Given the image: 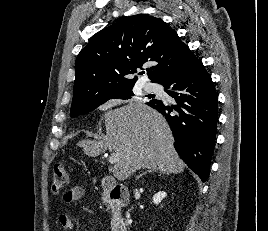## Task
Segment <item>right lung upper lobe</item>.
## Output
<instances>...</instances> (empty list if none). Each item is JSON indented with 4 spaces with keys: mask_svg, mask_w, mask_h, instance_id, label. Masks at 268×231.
<instances>
[{
    "mask_svg": "<svg viewBox=\"0 0 268 231\" xmlns=\"http://www.w3.org/2000/svg\"><path fill=\"white\" fill-rule=\"evenodd\" d=\"M198 62L162 19L143 14L125 17L92 36L78 54L72 103L133 87L137 77H130L145 63L154 65L149 78L161 84Z\"/></svg>",
    "mask_w": 268,
    "mask_h": 231,
    "instance_id": "1",
    "label": "right lung upper lobe"
}]
</instances>
